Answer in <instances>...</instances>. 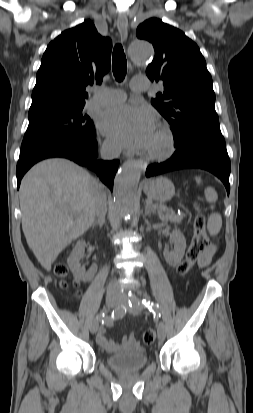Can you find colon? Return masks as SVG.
Returning a JSON list of instances; mask_svg holds the SVG:
<instances>
[{"instance_id": "1", "label": "colon", "mask_w": 253, "mask_h": 413, "mask_svg": "<svg viewBox=\"0 0 253 413\" xmlns=\"http://www.w3.org/2000/svg\"><path fill=\"white\" fill-rule=\"evenodd\" d=\"M194 208L197 215L194 220V234L191 244L187 249L184 259L179 263L176 268V274L178 276L186 275L192 266H194L201 259L204 252L210 247V240L206 231V220L202 214L201 207L198 203H195ZM55 274L60 278H65L68 275V268L64 263H58L54 267ZM76 286V284H73ZM63 288H68L69 284L63 280L61 282ZM154 329H147L143 333V341L146 344H151L155 340Z\"/></svg>"}]
</instances>
